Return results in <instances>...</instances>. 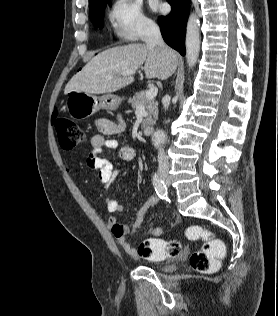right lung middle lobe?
<instances>
[{
  "label": "right lung middle lobe",
  "instance_id": "right-lung-middle-lobe-1",
  "mask_svg": "<svg viewBox=\"0 0 278 316\" xmlns=\"http://www.w3.org/2000/svg\"><path fill=\"white\" fill-rule=\"evenodd\" d=\"M108 0L100 2L98 5L90 9L89 16L95 28H103V12Z\"/></svg>",
  "mask_w": 278,
  "mask_h": 316
}]
</instances>
